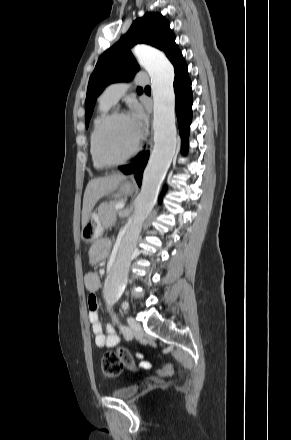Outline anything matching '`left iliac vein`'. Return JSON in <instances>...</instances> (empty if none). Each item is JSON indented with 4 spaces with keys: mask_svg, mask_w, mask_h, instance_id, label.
<instances>
[{
    "mask_svg": "<svg viewBox=\"0 0 291 440\" xmlns=\"http://www.w3.org/2000/svg\"><path fill=\"white\" fill-rule=\"evenodd\" d=\"M128 324L130 327V337H126L127 339H132L133 337L140 339L143 336V330L141 325L136 322L133 318H128Z\"/></svg>",
    "mask_w": 291,
    "mask_h": 440,
    "instance_id": "4c4485c4",
    "label": "left iliac vein"
}]
</instances>
